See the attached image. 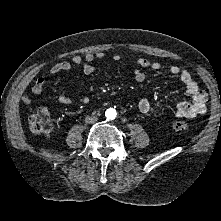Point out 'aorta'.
Here are the masks:
<instances>
[{
  "label": "aorta",
  "mask_w": 221,
  "mask_h": 221,
  "mask_svg": "<svg viewBox=\"0 0 221 221\" xmlns=\"http://www.w3.org/2000/svg\"><path fill=\"white\" fill-rule=\"evenodd\" d=\"M117 112L115 109L113 108H109L106 112H105V116L107 119L109 120H114L116 118Z\"/></svg>",
  "instance_id": "1"
}]
</instances>
